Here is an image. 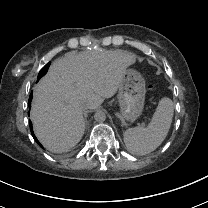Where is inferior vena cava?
Instances as JSON below:
<instances>
[{
	"instance_id": "obj_1",
	"label": "inferior vena cava",
	"mask_w": 208,
	"mask_h": 208,
	"mask_svg": "<svg viewBox=\"0 0 208 208\" xmlns=\"http://www.w3.org/2000/svg\"><path fill=\"white\" fill-rule=\"evenodd\" d=\"M81 109H82V111H84V110L87 109L86 106H85V103H82V104H81Z\"/></svg>"
}]
</instances>
